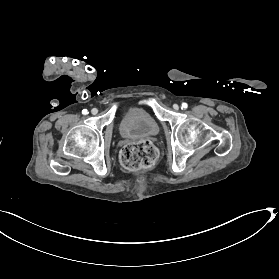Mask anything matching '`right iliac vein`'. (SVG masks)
<instances>
[{
  "mask_svg": "<svg viewBox=\"0 0 279 279\" xmlns=\"http://www.w3.org/2000/svg\"><path fill=\"white\" fill-rule=\"evenodd\" d=\"M91 113H92L93 115H95V114L98 113V110H97L96 108H93V109L91 110Z\"/></svg>",
  "mask_w": 279,
  "mask_h": 279,
  "instance_id": "obj_1",
  "label": "right iliac vein"
}]
</instances>
